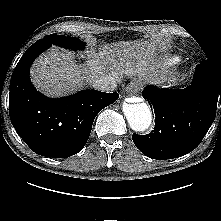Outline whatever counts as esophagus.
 Here are the masks:
<instances>
[{"instance_id":"obj_1","label":"esophagus","mask_w":221,"mask_h":221,"mask_svg":"<svg viewBox=\"0 0 221 221\" xmlns=\"http://www.w3.org/2000/svg\"><path fill=\"white\" fill-rule=\"evenodd\" d=\"M140 90V84L136 81L131 82L125 89L127 93H137Z\"/></svg>"}]
</instances>
